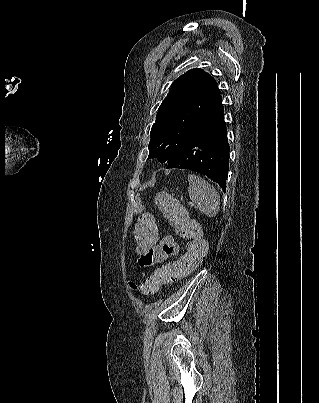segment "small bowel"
Returning a JSON list of instances; mask_svg holds the SVG:
<instances>
[{"label":"small bowel","instance_id":"1","mask_svg":"<svg viewBox=\"0 0 319 403\" xmlns=\"http://www.w3.org/2000/svg\"><path fill=\"white\" fill-rule=\"evenodd\" d=\"M179 251L180 248L175 239L172 236H166L156 247H150V249L142 252L139 261L143 266L150 267L160 261L177 255ZM186 275H183L182 277Z\"/></svg>","mask_w":319,"mask_h":403}]
</instances>
